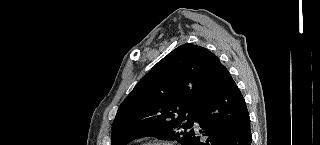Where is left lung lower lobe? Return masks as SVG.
I'll use <instances>...</instances> for the list:
<instances>
[{
    "instance_id": "obj_1",
    "label": "left lung lower lobe",
    "mask_w": 320,
    "mask_h": 145,
    "mask_svg": "<svg viewBox=\"0 0 320 145\" xmlns=\"http://www.w3.org/2000/svg\"><path fill=\"white\" fill-rule=\"evenodd\" d=\"M187 145H250L252 135L245 100L220 61L203 84L202 108ZM199 135L206 137L201 139Z\"/></svg>"
}]
</instances>
